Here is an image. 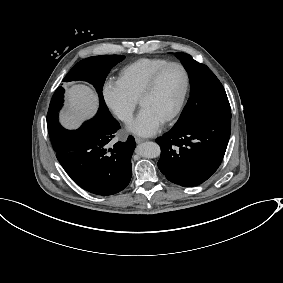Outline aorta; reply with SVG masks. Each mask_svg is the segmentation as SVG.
Instances as JSON below:
<instances>
[{
  "instance_id": "aorta-1",
  "label": "aorta",
  "mask_w": 283,
  "mask_h": 283,
  "mask_svg": "<svg viewBox=\"0 0 283 283\" xmlns=\"http://www.w3.org/2000/svg\"><path fill=\"white\" fill-rule=\"evenodd\" d=\"M137 154L145 158H156L160 156V146L155 142H144L137 146Z\"/></svg>"
}]
</instances>
